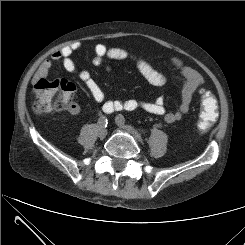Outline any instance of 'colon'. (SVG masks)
<instances>
[{
    "label": "colon",
    "instance_id": "colon-1",
    "mask_svg": "<svg viewBox=\"0 0 245 245\" xmlns=\"http://www.w3.org/2000/svg\"><path fill=\"white\" fill-rule=\"evenodd\" d=\"M75 93L74 85L64 79H40L33 89V109L38 114L55 113L70 109ZM201 113L198 128L208 130L217 119V103L212 92L201 90Z\"/></svg>",
    "mask_w": 245,
    "mask_h": 245
}]
</instances>
